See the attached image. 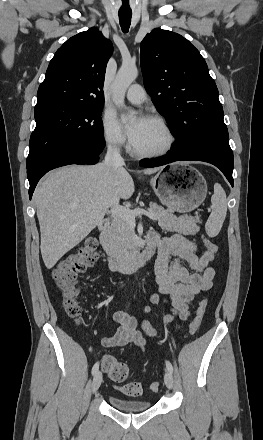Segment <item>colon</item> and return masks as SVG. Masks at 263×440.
I'll use <instances>...</instances> for the list:
<instances>
[{
  "instance_id": "colon-1",
  "label": "colon",
  "mask_w": 263,
  "mask_h": 440,
  "mask_svg": "<svg viewBox=\"0 0 263 440\" xmlns=\"http://www.w3.org/2000/svg\"><path fill=\"white\" fill-rule=\"evenodd\" d=\"M204 246L211 253L218 251V246L210 239H203ZM98 243L94 238H89L76 251L68 254L60 260L53 269L52 277L58 287L63 306L67 315L78 320L81 315L79 298L81 289L77 283L78 274L94 265L98 260ZM205 301H201L194 320L190 324V333L195 334L200 328L201 315ZM101 365L105 374L114 382H123L132 375V368L116 358L105 355L101 360ZM150 391L157 392L159 384L154 382L149 387ZM125 394L137 396L142 392V385L138 382H131L122 387Z\"/></svg>"
}]
</instances>
